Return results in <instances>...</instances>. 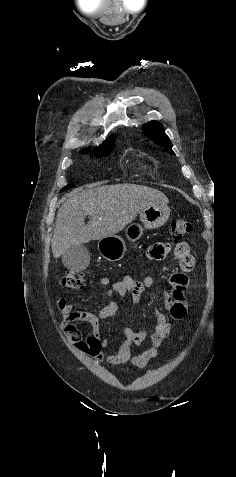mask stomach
<instances>
[{
    "label": "stomach",
    "instance_id": "stomach-1",
    "mask_svg": "<svg viewBox=\"0 0 236 477\" xmlns=\"http://www.w3.org/2000/svg\"><path fill=\"white\" fill-rule=\"evenodd\" d=\"M170 216V208L164 204H153L140 212L141 226L138 223L130 224L126 228L127 238L135 242L139 240L145 229H154L164 225ZM100 254L108 261H118L126 253L124 240L119 236H108L98 242Z\"/></svg>",
    "mask_w": 236,
    "mask_h": 477
}]
</instances>
